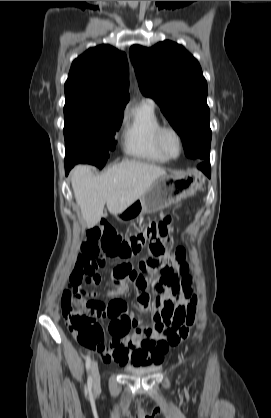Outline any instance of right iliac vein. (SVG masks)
Segmentation results:
<instances>
[{
  "label": "right iliac vein",
  "mask_w": 271,
  "mask_h": 418,
  "mask_svg": "<svg viewBox=\"0 0 271 418\" xmlns=\"http://www.w3.org/2000/svg\"><path fill=\"white\" fill-rule=\"evenodd\" d=\"M91 375L93 379V386L95 389H97L100 386V374H99L98 364L96 361L92 362Z\"/></svg>",
  "instance_id": "1"
}]
</instances>
